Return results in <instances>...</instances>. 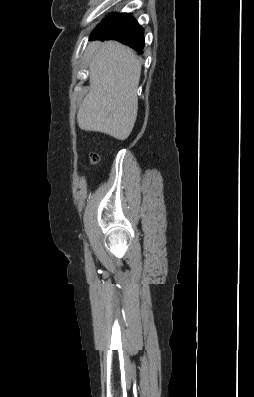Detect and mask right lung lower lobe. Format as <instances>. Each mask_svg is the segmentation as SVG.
Returning <instances> with one entry per match:
<instances>
[{"mask_svg": "<svg viewBox=\"0 0 254 397\" xmlns=\"http://www.w3.org/2000/svg\"><path fill=\"white\" fill-rule=\"evenodd\" d=\"M144 30L137 21L127 13L107 16L90 35V40H117L143 53Z\"/></svg>", "mask_w": 254, "mask_h": 397, "instance_id": "right-lung-lower-lobe-1", "label": "right lung lower lobe"}]
</instances>
